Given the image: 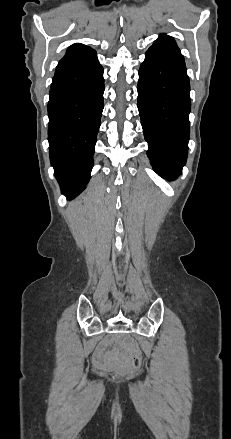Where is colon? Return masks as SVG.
<instances>
[{"label": "colon", "mask_w": 231, "mask_h": 439, "mask_svg": "<svg viewBox=\"0 0 231 439\" xmlns=\"http://www.w3.org/2000/svg\"><path fill=\"white\" fill-rule=\"evenodd\" d=\"M130 350L132 353V358L130 361L131 368L133 371H138L142 365V353L137 343H132L130 345Z\"/></svg>", "instance_id": "1"}]
</instances>
